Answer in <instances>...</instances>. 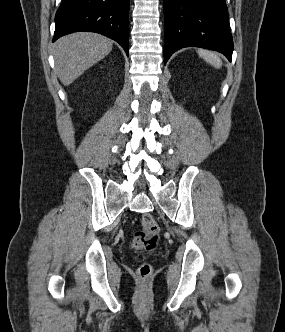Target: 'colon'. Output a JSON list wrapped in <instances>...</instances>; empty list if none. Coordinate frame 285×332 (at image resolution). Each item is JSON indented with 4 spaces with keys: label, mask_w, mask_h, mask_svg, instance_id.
Segmentation results:
<instances>
[{
    "label": "colon",
    "mask_w": 285,
    "mask_h": 332,
    "mask_svg": "<svg viewBox=\"0 0 285 332\" xmlns=\"http://www.w3.org/2000/svg\"><path fill=\"white\" fill-rule=\"evenodd\" d=\"M142 228L133 234L132 244L135 249L143 253L154 252L158 245L160 228L154 217L150 214H144L141 218ZM152 272V267L147 262H142L137 274L141 280H146Z\"/></svg>",
    "instance_id": "1"
}]
</instances>
